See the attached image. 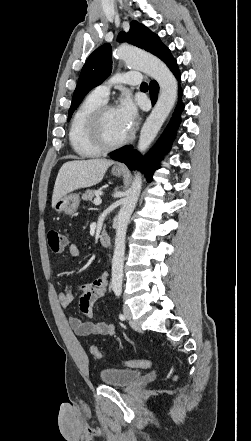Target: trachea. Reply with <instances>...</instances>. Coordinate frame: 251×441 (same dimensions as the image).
Segmentation results:
<instances>
[{
    "instance_id": "trachea-1",
    "label": "trachea",
    "mask_w": 251,
    "mask_h": 441,
    "mask_svg": "<svg viewBox=\"0 0 251 441\" xmlns=\"http://www.w3.org/2000/svg\"><path fill=\"white\" fill-rule=\"evenodd\" d=\"M140 87L141 88H148V84L146 82H142Z\"/></svg>"
}]
</instances>
